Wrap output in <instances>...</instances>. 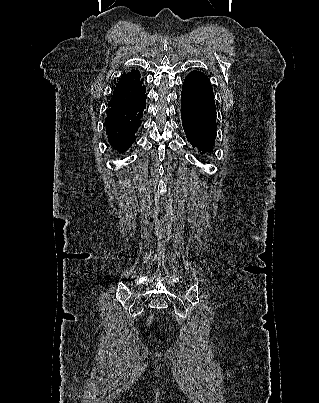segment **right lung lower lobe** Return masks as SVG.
<instances>
[{"instance_id": "obj_1", "label": "right lung lower lobe", "mask_w": 319, "mask_h": 403, "mask_svg": "<svg viewBox=\"0 0 319 403\" xmlns=\"http://www.w3.org/2000/svg\"><path fill=\"white\" fill-rule=\"evenodd\" d=\"M145 91L140 95L114 106H109L105 119L108 142L118 152L127 151L136 139L146 108Z\"/></svg>"}]
</instances>
